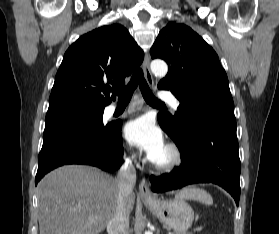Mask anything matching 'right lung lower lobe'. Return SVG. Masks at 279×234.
<instances>
[{
    "mask_svg": "<svg viewBox=\"0 0 279 234\" xmlns=\"http://www.w3.org/2000/svg\"><path fill=\"white\" fill-rule=\"evenodd\" d=\"M121 122L107 129L64 127L44 132L35 184L49 171L65 164H84L113 172L122 164Z\"/></svg>",
    "mask_w": 279,
    "mask_h": 234,
    "instance_id": "98d812e1",
    "label": "right lung lower lobe"
}]
</instances>
